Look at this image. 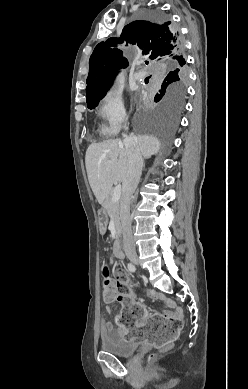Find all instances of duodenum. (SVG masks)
<instances>
[{"instance_id":"1","label":"duodenum","mask_w":248,"mask_h":389,"mask_svg":"<svg viewBox=\"0 0 248 389\" xmlns=\"http://www.w3.org/2000/svg\"><path fill=\"white\" fill-rule=\"evenodd\" d=\"M114 254L118 259H123V257H124V253H123V250L121 247V242H120L119 238H117V241L115 242V245H114Z\"/></svg>"}]
</instances>
